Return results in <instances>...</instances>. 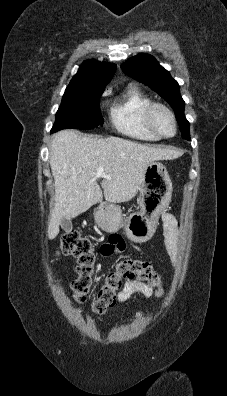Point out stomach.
<instances>
[{"label":"stomach","instance_id":"1","mask_svg":"<svg viewBox=\"0 0 227 396\" xmlns=\"http://www.w3.org/2000/svg\"><path fill=\"white\" fill-rule=\"evenodd\" d=\"M171 196L172 182L166 167L153 161L144 168L138 198L140 211L130 214L123 222L119 206L101 203L94 211V220L106 232H116L124 226L130 241L143 243L155 233L159 215L170 203Z\"/></svg>","mask_w":227,"mask_h":396}]
</instances>
